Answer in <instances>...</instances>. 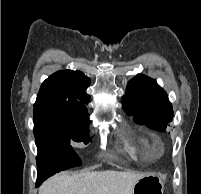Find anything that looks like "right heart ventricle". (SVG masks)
<instances>
[{
    "mask_svg": "<svg viewBox=\"0 0 201 194\" xmlns=\"http://www.w3.org/2000/svg\"><path fill=\"white\" fill-rule=\"evenodd\" d=\"M138 143L148 155L153 154V151H154L153 150V144H152L151 140L148 137L140 136L138 138Z\"/></svg>",
    "mask_w": 201,
    "mask_h": 194,
    "instance_id": "1",
    "label": "right heart ventricle"
}]
</instances>
